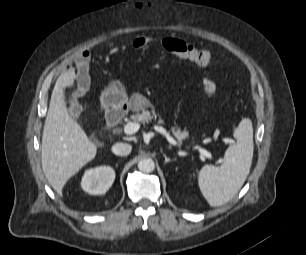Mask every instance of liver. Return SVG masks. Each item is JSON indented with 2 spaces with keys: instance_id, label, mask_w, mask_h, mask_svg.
<instances>
[{
  "instance_id": "6515ba94",
  "label": "liver",
  "mask_w": 306,
  "mask_h": 255,
  "mask_svg": "<svg viewBox=\"0 0 306 255\" xmlns=\"http://www.w3.org/2000/svg\"><path fill=\"white\" fill-rule=\"evenodd\" d=\"M75 79L74 68L58 77L42 137V169L49 184L60 196L67 181L97 154L96 145L66 109L63 88L72 86Z\"/></svg>"
}]
</instances>
